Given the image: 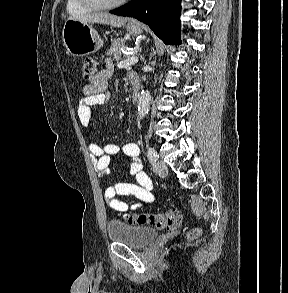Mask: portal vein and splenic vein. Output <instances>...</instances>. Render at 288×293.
Segmentation results:
<instances>
[{"label": "portal vein and splenic vein", "instance_id": "1", "mask_svg": "<svg viewBox=\"0 0 288 293\" xmlns=\"http://www.w3.org/2000/svg\"><path fill=\"white\" fill-rule=\"evenodd\" d=\"M138 62V57L135 55H132L131 57H128L127 59L121 61L117 66L119 68L128 67L131 65H134Z\"/></svg>", "mask_w": 288, "mask_h": 293}]
</instances>
